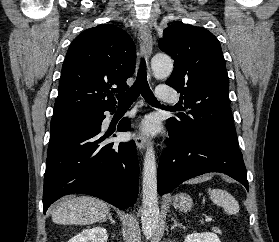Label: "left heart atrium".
Masks as SVG:
<instances>
[{
	"instance_id": "left-heart-atrium-1",
	"label": "left heart atrium",
	"mask_w": 279,
	"mask_h": 242,
	"mask_svg": "<svg viewBox=\"0 0 279 242\" xmlns=\"http://www.w3.org/2000/svg\"><path fill=\"white\" fill-rule=\"evenodd\" d=\"M140 129L143 133H149L152 131V123L150 121H144Z\"/></svg>"
}]
</instances>
